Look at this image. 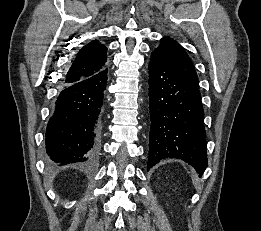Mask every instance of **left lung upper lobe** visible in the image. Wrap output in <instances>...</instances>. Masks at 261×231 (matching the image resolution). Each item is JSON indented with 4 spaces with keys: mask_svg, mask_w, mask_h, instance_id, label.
<instances>
[{
    "mask_svg": "<svg viewBox=\"0 0 261 231\" xmlns=\"http://www.w3.org/2000/svg\"><path fill=\"white\" fill-rule=\"evenodd\" d=\"M159 57L170 69L192 84L198 85L194 66L184 48L169 37L161 39V44L152 52Z\"/></svg>",
    "mask_w": 261,
    "mask_h": 231,
    "instance_id": "5c2ea615",
    "label": "left lung upper lobe"
}]
</instances>
